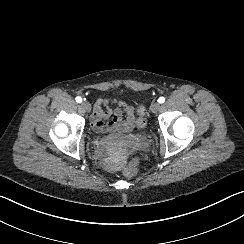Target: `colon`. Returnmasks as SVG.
Here are the masks:
<instances>
[{"mask_svg":"<svg viewBox=\"0 0 244 244\" xmlns=\"http://www.w3.org/2000/svg\"><path fill=\"white\" fill-rule=\"evenodd\" d=\"M139 115L141 117V120L139 121V124L141 125L144 122L145 116H146V112L143 108L139 109ZM140 174V171L138 168L136 167H130L127 169V171H125V175L130 177V178H136L138 177Z\"/></svg>","mask_w":244,"mask_h":244,"instance_id":"5ec220e1","label":"colon"}]
</instances>
